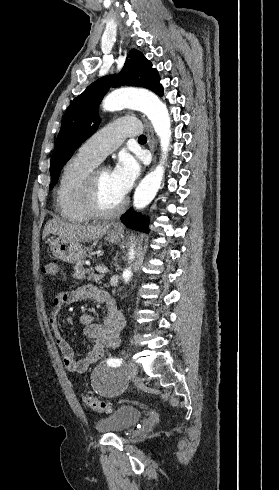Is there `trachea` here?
<instances>
[{
	"instance_id": "obj_1",
	"label": "trachea",
	"mask_w": 279,
	"mask_h": 490,
	"mask_svg": "<svg viewBox=\"0 0 279 490\" xmlns=\"http://www.w3.org/2000/svg\"><path fill=\"white\" fill-rule=\"evenodd\" d=\"M138 141H139V143H145L146 142L145 135H140V137L138 138Z\"/></svg>"
}]
</instances>
